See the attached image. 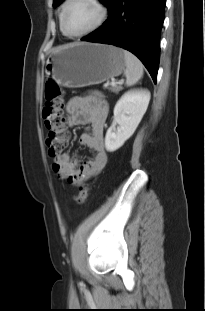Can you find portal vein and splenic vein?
<instances>
[{"mask_svg": "<svg viewBox=\"0 0 205 311\" xmlns=\"http://www.w3.org/2000/svg\"><path fill=\"white\" fill-rule=\"evenodd\" d=\"M118 83H121V82H118ZM116 84H117V83H116L115 81H112V82H111V85H112V86H114V85H116Z\"/></svg>", "mask_w": 205, "mask_h": 311, "instance_id": "18ae733b", "label": "portal vein and splenic vein"}]
</instances>
